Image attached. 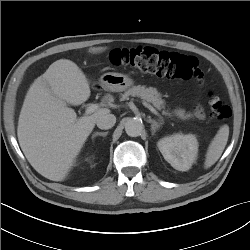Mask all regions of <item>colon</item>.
<instances>
[{
    "instance_id": "obj_1",
    "label": "colon",
    "mask_w": 250,
    "mask_h": 250,
    "mask_svg": "<svg viewBox=\"0 0 250 250\" xmlns=\"http://www.w3.org/2000/svg\"><path fill=\"white\" fill-rule=\"evenodd\" d=\"M111 62L116 66H131L161 77L202 82L197 60L178 52L161 51L152 47L122 48L112 52ZM209 106L216 119L226 121L231 117L230 106L219 97L211 95Z\"/></svg>"
}]
</instances>
